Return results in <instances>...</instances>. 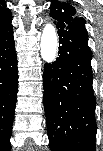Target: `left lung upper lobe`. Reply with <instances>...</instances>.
<instances>
[{"label":"left lung upper lobe","mask_w":103,"mask_h":151,"mask_svg":"<svg viewBox=\"0 0 103 151\" xmlns=\"http://www.w3.org/2000/svg\"><path fill=\"white\" fill-rule=\"evenodd\" d=\"M50 16L55 19L58 29H64L74 23L85 25L84 18L78 16L76 9L65 2L53 1L50 6Z\"/></svg>","instance_id":"1"}]
</instances>
